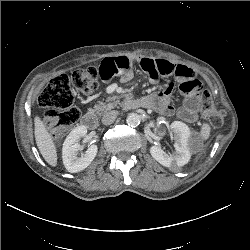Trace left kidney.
<instances>
[{
	"label": "left kidney",
	"mask_w": 250,
	"mask_h": 250,
	"mask_svg": "<svg viewBox=\"0 0 250 250\" xmlns=\"http://www.w3.org/2000/svg\"><path fill=\"white\" fill-rule=\"evenodd\" d=\"M171 131L174 133L175 152L168 154L158 146L150 148L151 156L165 167L184 166L191 158L190 146L193 142L189 127L181 122L174 121L170 125Z\"/></svg>",
	"instance_id": "left-kidney-1"
}]
</instances>
